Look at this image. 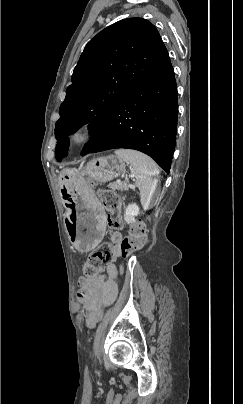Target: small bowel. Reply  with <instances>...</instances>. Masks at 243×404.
Segmentation results:
<instances>
[{"label": "small bowel", "mask_w": 243, "mask_h": 404, "mask_svg": "<svg viewBox=\"0 0 243 404\" xmlns=\"http://www.w3.org/2000/svg\"><path fill=\"white\" fill-rule=\"evenodd\" d=\"M113 240H120L119 234L113 235ZM117 266L110 263L106 266L105 274H99L93 278H82L80 280L81 290L79 299L84 303V313L88 327H93L103 307L112 304L118 293Z\"/></svg>", "instance_id": "small-bowel-1"}]
</instances>
